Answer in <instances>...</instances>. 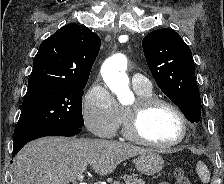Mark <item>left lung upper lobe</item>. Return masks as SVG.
Returning a JSON list of instances; mask_svg holds the SVG:
<instances>
[{
  "mask_svg": "<svg viewBox=\"0 0 224 184\" xmlns=\"http://www.w3.org/2000/svg\"><path fill=\"white\" fill-rule=\"evenodd\" d=\"M142 45L159 88L190 122H199L201 101L190 48L178 33L168 28L147 34Z\"/></svg>",
  "mask_w": 224,
  "mask_h": 184,
  "instance_id": "left-lung-upper-lobe-1",
  "label": "left lung upper lobe"
}]
</instances>
